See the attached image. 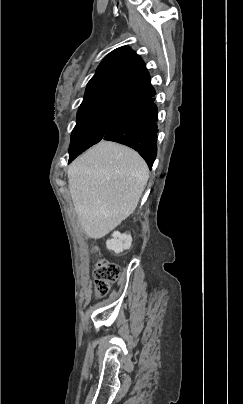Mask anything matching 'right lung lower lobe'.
Masks as SVG:
<instances>
[{
    "label": "right lung lower lobe",
    "instance_id": "obj_1",
    "mask_svg": "<svg viewBox=\"0 0 243 404\" xmlns=\"http://www.w3.org/2000/svg\"><path fill=\"white\" fill-rule=\"evenodd\" d=\"M155 93L129 102L114 119L102 140L115 141L136 150L151 169L157 154Z\"/></svg>",
    "mask_w": 243,
    "mask_h": 404
}]
</instances>
